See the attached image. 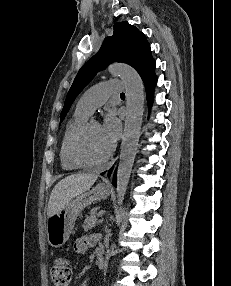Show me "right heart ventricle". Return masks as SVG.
Segmentation results:
<instances>
[{
    "label": "right heart ventricle",
    "mask_w": 231,
    "mask_h": 286,
    "mask_svg": "<svg viewBox=\"0 0 231 286\" xmlns=\"http://www.w3.org/2000/svg\"><path fill=\"white\" fill-rule=\"evenodd\" d=\"M88 117V114L76 109L65 127L59 149V159L64 170L74 171L80 168L70 159L69 144L76 130L88 119Z\"/></svg>",
    "instance_id": "1"
}]
</instances>
